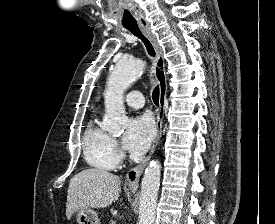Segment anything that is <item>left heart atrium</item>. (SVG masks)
Listing matches in <instances>:
<instances>
[{"mask_svg": "<svg viewBox=\"0 0 275 224\" xmlns=\"http://www.w3.org/2000/svg\"><path fill=\"white\" fill-rule=\"evenodd\" d=\"M155 125L148 115L132 118L123 137V144L132 154H142L155 137Z\"/></svg>", "mask_w": 275, "mask_h": 224, "instance_id": "1", "label": "left heart atrium"}]
</instances>
